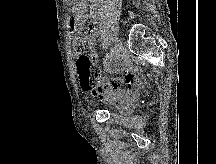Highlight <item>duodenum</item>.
<instances>
[{"instance_id":"410a0bca","label":"duodenum","mask_w":216,"mask_h":164,"mask_svg":"<svg viewBox=\"0 0 216 164\" xmlns=\"http://www.w3.org/2000/svg\"><path fill=\"white\" fill-rule=\"evenodd\" d=\"M102 0H93L91 6V12L94 16H99L101 11V2Z\"/></svg>"}]
</instances>
